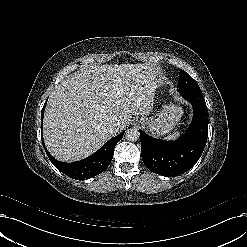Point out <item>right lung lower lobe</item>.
I'll return each mask as SVG.
<instances>
[{
	"label": "right lung lower lobe",
	"instance_id": "right-lung-lower-lobe-1",
	"mask_svg": "<svg viewBox=\"0 0 247 247\" xmlns=\"http://www.w3.org/2000/svg\"><path fill=\"white\" fill-rule=\"evenodd\" d=\"M46 105V103H45ZM45 105L41 112V125L43 122V114ZM124 135V131L116 137L110 139L105 143L98 151L91 156L72 163H65L53 158L47 149L44 147L50 161L53 165L62 173L66 174L70 178L77 180L90 179L100 173H102L111 163L113 158V152L115 145ZM43 143V139H42ZM44 146V143H43Z\"/></svg>",
	"mask_w": 247,
	"mask_h": 247
}]
</instances>
